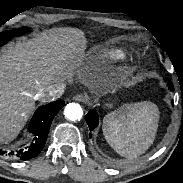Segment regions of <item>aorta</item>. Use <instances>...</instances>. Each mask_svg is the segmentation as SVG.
Wrapping results in <instances>:
<instances>
[{"mask_svg":"<svg viewBox=\"0 0 183 183\" xmlns=\"http://www.w3.org/2000/svg\"><path fill=\"white\" fill-rule=\"evenodd\" d=\"M64 115L70 121L80 120L83 116L82 107L78 103H69L64 109Z\"/></svg>","mask_w":183,"mask_h":183,"instance_id":"762f6f07","label":"aorta"}]
</instances>
